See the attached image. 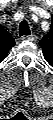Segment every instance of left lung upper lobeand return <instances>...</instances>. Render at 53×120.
Returning a JSON list of instances; mask_svg holds the SVG:
<instances>
[{"instance_id": "1", "label": "left lung upper lobe", "mask_w": 53, "mask_h": 120, "mask_svg": "<svg viewBox=\"0 0 53 120\" xmlns=\"http://www.w3.org/2000/svg\"><path fill=\"white\" fill-rule=\"evenodd\" d=\"M53 32L52 29L40 40V46L46 61L51 65L53 63Z\"/></svg>"}]
</instances>
